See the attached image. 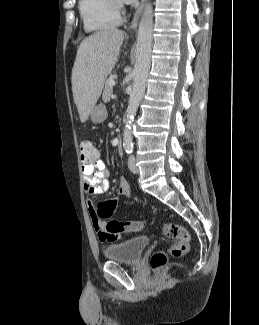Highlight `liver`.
Segmentation results:
<instances>
[{"label": "liver", "mask_w": 259, "mask_h": 325, "mask_svg": "<svg viewBox=\"0 0 259 325\" xmlns=\"http://www.w3.org/2000/svg\"><path fill=\"white\" fill-rule=\"evenodd\" d=\"M124 33L118 29L96 32L85 38L72 69V92L82 123L97 103L107 76L118 61Z\"/></svg>", "instance_id": "1"}]
</instances>
